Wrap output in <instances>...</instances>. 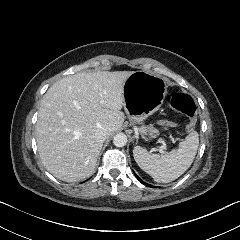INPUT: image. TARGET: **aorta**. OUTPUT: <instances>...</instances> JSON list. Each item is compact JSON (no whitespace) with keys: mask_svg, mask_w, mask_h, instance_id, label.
<instances>
[{"mask_svg":"<svg viewBox=\"0 0 240 240\" xmlns=\"http://www.w3.org/2000/svg\"><path fill=\"white\" fill-rule=\"evenodd\" d=\"M113 143L117 147H123L127 143V136L124 133H117L113 138Z\"/></svg>","mask_w":240,"mask_h":240,"instance_id":"obj_1","label":"aorta"}]
</instances>
